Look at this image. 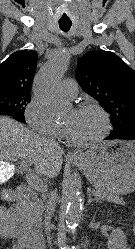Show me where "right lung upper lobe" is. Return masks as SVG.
<instances>
[{
    "label": "right lung upper lobe",
    "mask_w": 135,
    "mask_h": 249,
    "mask_svg": "<svg viewBox=\"0 0 135 249\" xmlns=\"http://www.w3.org/2000/svg\"><path fill=\"white\" fill-rule=\"evenodd\" d=\"M37 60V53L32 50H22L11 54L0 64V92L30 94Z\"/></svg>",
    "instance_id": "cb5924a9"
}]
</instances>
